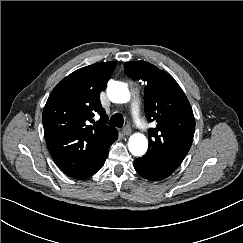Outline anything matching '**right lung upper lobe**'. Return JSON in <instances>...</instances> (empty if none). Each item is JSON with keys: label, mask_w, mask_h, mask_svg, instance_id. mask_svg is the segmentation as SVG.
I'll use <instances>...</instances> for the list:
<instances>
[{"label": "right lung upper lobe", "mask_w": 243, "mask_h": 243, "mask_svg": "<svg viewBox=\"0 0 243 243\" xmlns=\"http://www.w3.org/2000/svg\"><path fill=\"white\" fill-rule=\"evenodd\" d=\"M115 67L112 61L80 68L49 95L43 110L45 140L54 162L68 176L93 168L118 136L106 125L108 117L100 103V92ZM95 113L101 118L94 123Z\"/></svg>", "instance_id": "right-lung-upper-lobe-1"}]
</instances>
